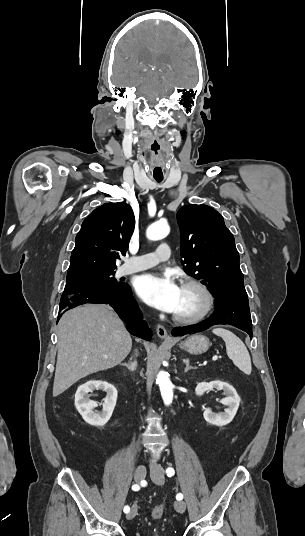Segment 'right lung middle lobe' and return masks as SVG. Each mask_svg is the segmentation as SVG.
I'll return each mask as SVG.
<instances>
[{
	"label": "right lung middle lobe",
	"mask_w": 305,
	"mask_h": 536,
	"mask_svg": "<svg viewBox=\"0 0 305 536\" xmlns=\"http://www.w3.org/2000/svg\"><path fill=\"white\" fill-rule=\"evenodd\" d=\"M114 270L75 276L67 278L65 289L74 288H89L97 289L101 291H113L119 289L124 285L122 282H118L113 276Z\"/></svg>",
	"instance_id": "obj_1"
}]
</instances>
